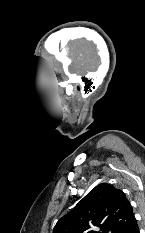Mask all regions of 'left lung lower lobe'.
<instances>
[{"mask_svg":"<svg viewBox=\"0 0 145 233\" xmlns=\"http://www.w3.org/2000/svg\"><path fill=\"white\" fill-rule=\"evenodd\" d=\"M129 233H139V227H138L137 222L133 225Z\"/></svg>","mask_w":145,"mask_h":233,"instance_id":"obj_1","label":"left lung lower lobe"}]
</instances>
